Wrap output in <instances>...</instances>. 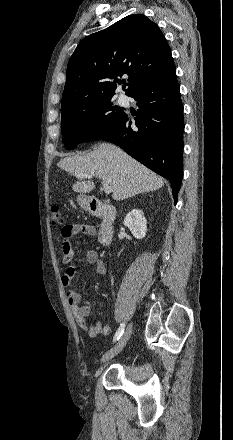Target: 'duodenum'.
<instances>
[{
    "label": "duodenum",
    "mask_w": 233,
    "mask_h": 440,
    "mask_svg": "<svg viewBox=\"0 0 233 440\" xmlns=\"http://www.w3.org/2000/svg\"><path fill=\"white\" fill-rule=\"evenodd\" d=\"M90 214L102 219L98 230V240L103 246H108L114 238L113 222L116 217L114 207L108 206L99 200H92L89 207Z\"/></svg>",
    "instance_id": "obj_1"
}]
</instances>
